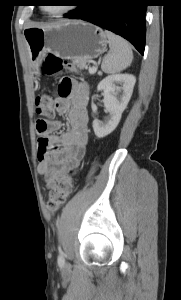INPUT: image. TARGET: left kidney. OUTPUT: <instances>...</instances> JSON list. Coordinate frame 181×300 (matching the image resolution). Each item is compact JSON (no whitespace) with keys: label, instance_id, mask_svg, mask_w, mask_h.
I'll return each mask as SVG.
<instances>
[{"label":"left kidney","instance_id":"1","mask_svg":"<svg viewBox=\"0 0 181 300\" xmlns=\"http://www.w3.org/2000/svg\"><path fill=\"white\" fill-rule=\"evenodd\" d=\"M136 78L131 74H115L104 78L97 86V90L104 91V105L110 114L108 120L102 123L95 119L93 130L98 138L110 134L117 127L121 115L131 98ZM117 84H120L118 86ZM120 94V97L117 96Z\"/></svg>","mask_w":181,"mask_h":300}]
</instances>
